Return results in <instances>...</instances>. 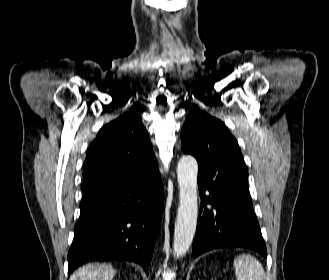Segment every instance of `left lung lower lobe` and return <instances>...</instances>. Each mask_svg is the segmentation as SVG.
Returning a JSON list of instances; mask_svg holds the SVG:
<instances>
[{
    "mask_svg": "<svg viewBox=\"0 0 329 280\" xmlns=\"http://www.w3.org/2000/svg\"><path fill=\"white\" fill-rule=\"evenodd\" d=\"M202 205L193 241V256L221 248H249L267 257L248 185L226 193L199 188ZM206 193V194H205ZM211 204L210 208L203 206Z\"/></svg>",
    "mask_w": 329,
    "mask_h": 280,
    "instance_id": "0a47b994",
    "label": "left lung lower lobe"
}]
</instances>
